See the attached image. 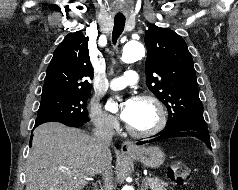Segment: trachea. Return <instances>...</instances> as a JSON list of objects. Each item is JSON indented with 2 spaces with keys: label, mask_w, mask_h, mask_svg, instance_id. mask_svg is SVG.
<instances>
[{
  "label": "trachea",
  "mask_w": 238,
  "mask_h": 190,
  "mask_svg": "<svg viewBox=\"0 0 238 190\" xmlns=\"http://www.w3.org/2000/svg\"><path fill=\"white\" fill-rule=\"evenodd\" d=\"M125 26V19L124 18H115L114 19V28L112 33V41L116 44L117 39L122 34Z\"/></svg>",
  "instance_id": "1"
}]
</instances>
